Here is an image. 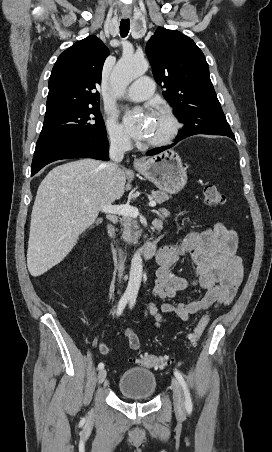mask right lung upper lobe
Masks as SVG:
<instances>
[{"instance_id":"1","label":"right lung upper lobe","mask_w":272,"mask_h":452,"mask_svg":"<svg viewBox=\"0 0 272 452\" xmlns=\"http://www.w3.org/2000/svg\"><path fill=\"white\" fill-rule=\"evenodd\" d=\"M108 55V48L96 36H88L65 50L49 78L46 114L99 104L100 95L95 90Z\"/></svg>"}]
</instances>
